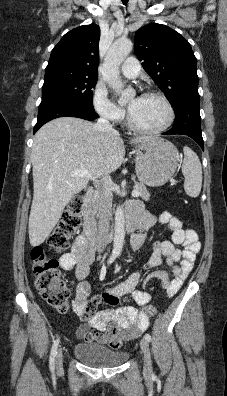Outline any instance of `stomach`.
Masks as SVG:
<instances>
[{
    "mask_svg": "<svg viewBox=\"0 0 227 396\" xmlns=\"http://www.w3.org/2000/svg\"><path fill=\"white\" fill-rule=\"evenodd\" d=\"M135 171L138 180L151 187H159L173 176L178 162L179 152L169 141L151 137L135 147Z\"/></svg>",
    "mask_w": 227,
    "mask_h": 396,
    "instance_id": "stomach-1",
    "label": "stomach"
}]
</instances>
